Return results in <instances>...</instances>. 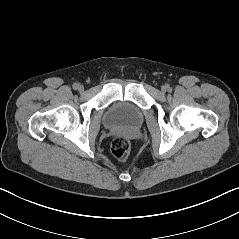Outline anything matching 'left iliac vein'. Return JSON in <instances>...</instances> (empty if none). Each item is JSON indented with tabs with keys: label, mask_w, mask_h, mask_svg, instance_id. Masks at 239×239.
Returning <instances> with one entry per match:
<instances>
[{
	"label": "left iliac vein",
	"mask_w": 239,
	"mask_h": 239,
	"mask_svg": "<svg viewBox=\"0 0 239 239\" xmlns=\"http://www.w3.org/2000/svg\"><path fill=\"white\" fill-rule=\"evenodd\" d=\"M161 90H162L163 92H166L167 87H166V86H162Z\"/></svg>",
	"instance_id": "left-iliac-vein-1"
}]
</instances>
